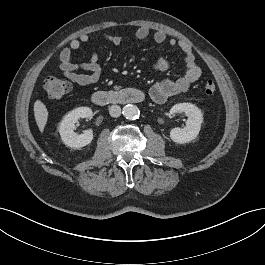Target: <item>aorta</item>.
Here are the masks:
<instances>
[{
	"mask_svg": "<svg viewBox=\"0 0 265 265\" xmlns=\"http://www.w3.org/2000/svg\"><path fill=\"white\" fill-rule=\"evenodd\" d=\"M139 108L135 105L128 104L123 108V115L128 120H135L139 117Z\"/></svg>",
	"mask_w": 265,
	"mask_h": 265,
	"instance_id": "1",
	"label": "aorta"
}]
</instances>
